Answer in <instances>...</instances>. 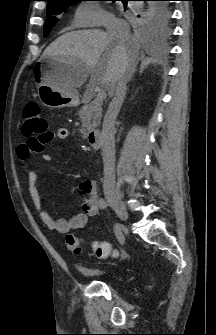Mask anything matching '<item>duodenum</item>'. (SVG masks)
<instances>
[{
    "label": "duodenum",
    "mask_w": 216,
    "mask_h": 335,
    "mask_svg": "<svg viewBox=\"0 0 216 335\" xmlns=\"http://www.w3.org/2000/svg\"><path fill=\"white\" fill-rule=\"evenodd\" d=\"M87 140L94 149H99L102 145L101 132L97 129L91 130L87 135Z\"/></svg>",
    "instance_id": "duodenum-1"
}]
</instances>
